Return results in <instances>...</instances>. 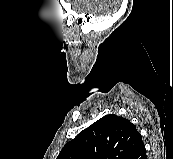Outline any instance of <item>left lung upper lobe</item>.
<instances>
[{
  "label": "left lung upper lobe",
  "instance_id": "1",
  "mask_svg": "<svg viewBox=\"0 0 173 159\" xmlns=\"http://www.w3.org/2000/svg\"><path fill=\"white\" fill-rule=\"evenodd\" d=\"M142 144L134 124L111 114L81 131L62 148L57 159H131Z\"/></svg>",
  "mask_w": 173,
  "mask_h": 159
}]
</instances>
